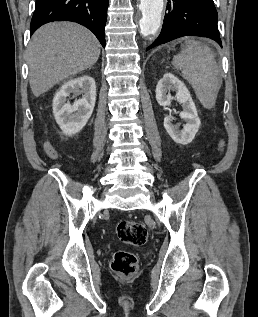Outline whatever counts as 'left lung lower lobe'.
I'll return each mask as SVG.
<instances>
[{"label":"left lung lower lobe","instance_id":"0a47b994","mask_svg":"<svg viewBox=\"0 0 258 317\" xmlns=\"http://www.w3.org/2000/svg\"><path fill=\"white\" fill-rule=\"evenodd\" d=\"M166 10L161 33L147 50L183 36L207 37L222 47L213 0H169Z\"/></svg>","mask_w":258,"mask_h":317}]
</instances>
